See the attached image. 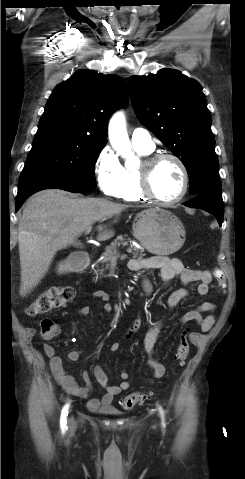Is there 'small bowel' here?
I'll return each mask as SVG.
<instances>
[{"label":"small bowel","mask_w":245,"mask_h":479,"mask_svg":"<svg viewBox=\"0 0 245 479\" xmlns=\"http://www.w3.org/2000/svg\"><path fill=\"white\" fill-rule=\"evenodd\" d=\"M129 268L132 271L148 269L159 270L164 282H169L178 277L184 285L197 283L196 292L199 295H206L208 293L209 284L212 281V275L208 270L185 268L182 262L177 258L155 256L151 258L131 259L129 261ZM143 286L147 293L151 291L149 282L145 281ZM188 295L189 292L186 288L173 291L167 299L169 309L175 308L178 303L187 298ZM93 296L103 303V308L106 312L112 311L110 295L107 292L98 290L93 293ZM214 310L215 306L213 303L203 301L197 308L185 313L180 318V323L196 322L202 332H208L212 329L216 321ZM89 312V306H83L78 311L80 315H87ZM203 313H207V315L203 317ZM163 321L164 319L160 318L151 324L143 342L144 350L148 355L147 365L151 368L154 379L162 378L166 371L165 366L154 357L157 337L163 325ZM140 324L139 319L134 320L127 330V337H131L139 329ZM109 349L112 352H116L120 349V344L113 342L110 344ZM43 352L49 358L52 373L62 389L69 395L87 399V408L92 412L108 410L112 406L114 398L131 387L128 381L129 373L127 371H120L122 382L115 386L108 383L106 372L100 366L96 365L93 368V375L97 383L104 388L105 392L100 398L92 397L91 377L87 371L82 372L84 384L80 385L66 372L62 358L56 355L55 348L51 344H44ZM81 353L79 349L70 350L67 354V358L70 361H77Z\"/></svg>","instance_id":"c3829d8e"}]
</instances>
